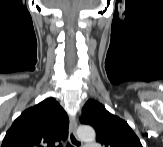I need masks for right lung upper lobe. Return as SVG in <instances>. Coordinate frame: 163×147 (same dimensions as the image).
<instances>
[{"label": "right lung upper lobe", "instance_id": "obj_1", "mask_svg": "<svg viewBox=\"0 0 163 147\" xmlns=\"http://www.w3.org/2000/svg\"><path fill=\"white\" fill-rule=\"evenodd\" d=\"M69 119L53 98L28 108L7 131L1 147H54L68 135Z\"/></svg>", "mask_w": 163, "mask_h": 147}]
</instances>
